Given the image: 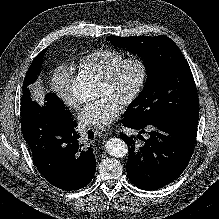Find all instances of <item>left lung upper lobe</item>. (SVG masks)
Here are the masks:
<instances>
[{"label":"left lung upper lobe","mask_w":219,"mask_h":219,"mask_svg":"<svg viewBox=\"0 0 219 219\" xmlns=\"http://www.w3.org/2000/svg\"><path fill=\"white\" fill-rule=\"evenodd\" d=\"M115 46L142 56L148 77L124 118L137 123L198 113V95L188 62L167 36H109Z\"/></svg>","instance_id":"1"}]
</instances>
